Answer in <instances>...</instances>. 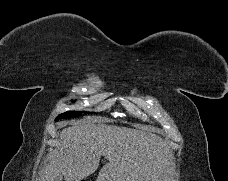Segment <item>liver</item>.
<instances>
[{
    "label": "liver",
    "instance_id": "liver-1",
    "mask_svg": "<svg viewBox=\"0 0 228 181\" xmlns=\"http://www.w3.org/2000/svg\"><path fill=\"white\" fill-rule=\"evenodd\" d=\"M106 119L70 123L39 173L38 181H84L97 171L100 181H172L175 165L169 145L154 133L106 125ZM69 123H64L66 127Z\"/></svg>",
    "mask_w": 228,
    "mask_h": 181
}]
</instances>
